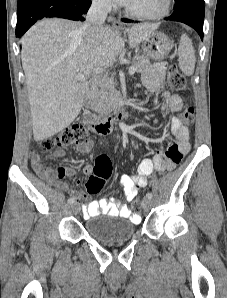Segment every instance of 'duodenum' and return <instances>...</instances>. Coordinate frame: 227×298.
Here are the masks:
<instances>
[{
  "label": "duodenum",
  "mask_w": 227,
  "mask_h": 298,
  "mask_svg": "<svg viewBox=\"0 0 227 298\" xmlns=\"http://www.w3.org/2000/svg\"><path fill=\"white\" fill-rule=\"evenodd\" d=\"M96 103V92L91 90L85 97V106L89 113L85 117L87 125L98 134H108L112 131L113 125L121 121L127 113L126 106H120L112 113L105 116H96L91 111L94 109Z\"/></svg>",
  "instance_id": "obj_1"
}]
</instances>
